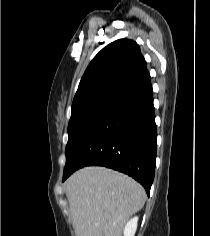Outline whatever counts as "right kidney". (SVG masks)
Wrapping results in <instances>:
<instances>
[{"label":"right kidney","instance_id":"obj_1","mask_svg":"<svg viewBox=\"0 0 210 236\" xmlns=\"http://www.w3.org/2000/svg\"><path fill=\"white\" fill-rule=\"evenodd\" d=\"M138 217L132 218L127 222L124 229V236H134L137 230Z\"/></svg>","mask_w":210,"mask_h":236}]
</instances>
